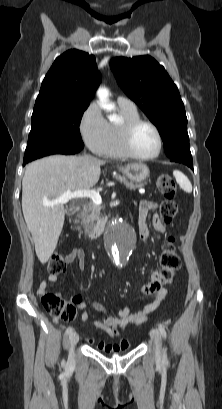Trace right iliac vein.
<instances>
[{
	"label": "right iliac vein",
	"instance_id": "obj_1",
	"mask_svg": "<svg viewBox=\"0 0 222 409\" xmlns=\"http://www.w3.org/2000/svg\"><path fill=\"white\" fill-rule=\"evenodd\" d=\"M79 336L76 332H71L69 335V358H74V345L78 342Z\"/></svg>",
	"mask_w": 222,
	"mask_h": 409
}]
</instances>
